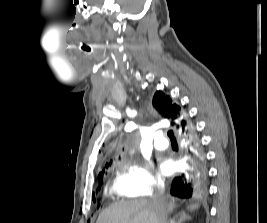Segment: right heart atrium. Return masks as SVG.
<instances>
[{
  "label": "right heart atrium",
  "instance_id": "d8ad5b80",
  "mask_svg": "<svg viewBox=\"0 0 267 223\" xmlns=\"http://www.w3.org/2000/svg\"><path fill=\"white\" fill-rule=\"evenodd\" d=\"M116 181L122 192L134 196H151L164 187L163 178L149 165L135 163L124 165Z\"/></svg>",
  "mask_w": 267,
  "mask_h": 223
}]
</instances>
